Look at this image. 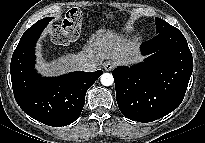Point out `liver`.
Wrapping results in <instances>:
<instances>
[{"mask_svg": "<svg viewBox=\"0 0 205 143\" xmlns=\"http://www.w3.org/2000/svg\"><path fill=\"white\" fill-rule=\"evenodd\" d=\"M137 43L109 29L94 32L83 50L77 54H67L52 61L38 59L36 69L44 76H58L65 72L81 70L80 61L88 59L101 66L104 60H112L116 65H131L143 60Z\"/></svg>", "mask_w": 205, "mask_h": 143, "instance_id": "1", "label": "liver"}]
</instances>
